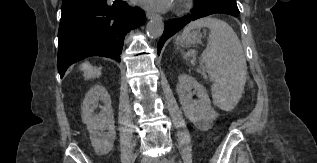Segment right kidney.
Segmentation results:
<instances>
[{
  "instance_id": "1",
  "label": "right kidney",
  "mask_w": 317,
  "mask_h": 163,
  "mask_svg": "<svg viewBox=\"0 0 317 163\" xmlns=\"http://www.w3.org/2000/svg\"><path fill=\"white\" fill-rule=\"evenodd\" d=\"M101 101L102 111L94 114L96 104ZM82 121L87 126L91 144L97 154L105 155L113 149L116 138L111 99L101 85H94L85 95L81 111ZM104 130L107 132L103 133Z\"/></svg>"
}]
</instances>
